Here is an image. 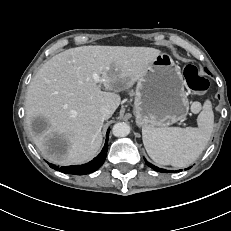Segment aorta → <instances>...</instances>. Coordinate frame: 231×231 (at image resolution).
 Here are the masks:
<instances>
[{"label": "aorta", "mask_w": 231, "mask_h": 231, "mask_svg": "<svg viewBox=\"0 0 231 231\" xmlns=\"http://www.w3.org/2000/svg\"><path fill=\"white\" fill-rule=\"evenodd\" d=\"M112 132L116 137H125L130 133V126L125 122H119L113 126Z\"/></svg>", "instance_id": "762f6f07"}]
</instances>
